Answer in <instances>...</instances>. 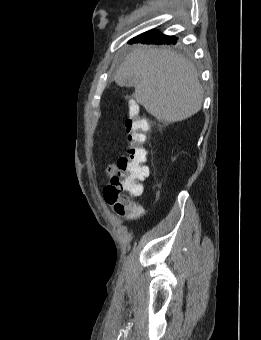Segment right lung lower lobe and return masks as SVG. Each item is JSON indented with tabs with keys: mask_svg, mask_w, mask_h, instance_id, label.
Masks as SVG:
<instances>
[{
	"mask_svg": "<svg viewBox=\"0 0 261 340\" xmlns=\"http://www.w3.org/2000/svg\"><path fill=\"white\" fill-rule=\"evenodd\" d=\"M171 39L172 36H166L159 33L157 30H150L134 37L128 43L141 42L143 44H167Z\"/></svg>",
	"mask_w": 261,
	"mask_h": 340,
	"instance_id": "right-lung-lower-lobe-1",
	"label": "right lung lower lobe"
}]
</instances>
